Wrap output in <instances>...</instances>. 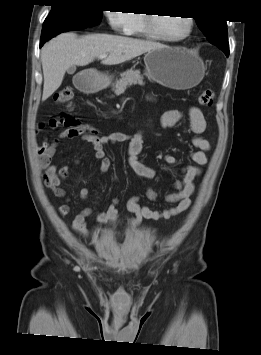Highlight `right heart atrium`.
<instances>
[{
  "mask_svg": "<svg viewBox=\"0 0 261 355\" xmlns=\"http://www.w3.org/2000/svg\"><path fill=\"white\" fill-rule=\"evenodd\" d=\"M108 22L115 32L128 34L132 25V14L127 10H109L106 13Z\"/></svg>",
  "mask_w": 261,
  "mask_h": 355,
  "instance_id": "1",
  "label": "right heart atrium"
}]
</instances>
